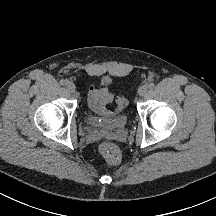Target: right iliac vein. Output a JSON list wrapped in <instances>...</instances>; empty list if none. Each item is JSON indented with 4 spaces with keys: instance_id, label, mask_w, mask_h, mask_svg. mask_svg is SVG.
Masks as SVG:
<instances>
[{
    "instance_id": "63e3f726",
    "label": "right iliac vein",
    "mask_w": 216,
    "mask_h": 216,
    "mask_svg": "<svg viewBox=\"0 0 216 216\" xmlns=\"http://www.w3.org/2000/svg\"><path fill=\"white\" fill-rule=\"evenodd\" d=\"M66 89L70 92L73 93L75 91V84L71 81H68L66 83Z\"/></svg>"
}]
</instances>
